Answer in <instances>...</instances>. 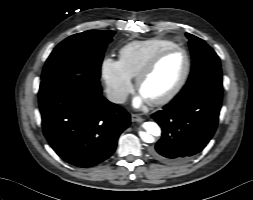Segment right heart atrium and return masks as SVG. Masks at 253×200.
Wrapping results in <instances>:
<instances>
[{"label": "right heart atrium", "instance_id": "obj_1", "mask_svg": "<svg viewBox=\"0 0 253 200\" xmlns=\"http://www.w3.org/2000/svg\"><path fill=\"white\" fill-rule=\"evenodd\" d=\"M101 77L110 100L117 104L124 103L132 91V80L119 60L105 57L101 63Z\"/></svg>", "mask_w": 253, "mask_h": 200}]
</instances>
